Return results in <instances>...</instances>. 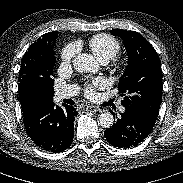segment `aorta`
I'll use <instances>...</instances> for the list:
<instances>
[{
	"instance_id": "aorta-1",
	"label": "aorta",
	"mask_w": 183,
	"mask_h": 183,
	"mask_svg": "<svg viewBox=\"0 0 183 183\" xmlns=\"http://www.w3.org/2000/svg\"><path fill=\"white\" fill-rule=\"evenodd\" d=\"M74 69L80 73L96 72L99 68L94 57L87 53L78 54L73 60ZM114 123V117L110 112L101 113L98 117V124L102 128H110Z\"/></svg>"
}]
</instances>
